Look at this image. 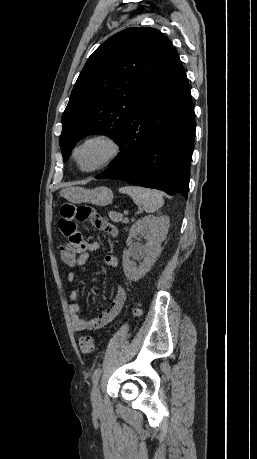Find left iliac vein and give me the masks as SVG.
<instances>
[{
	"instance_id": "4c4485c4",
	"label": "left iliac vein",
	"mask_w": 257,
	"mask_h": 459,
	"mask_svg": "<svg viewBox=\"0 0 257 459\" xmlns=\"http://www.w3.org/2000/svg\"><path fill=\"white\" fill-rule=\"evenodd\" d=\"M91 402L95 409H100L102 406V398L100 393V386L95 383L91 392Z\"/></svg>"
}]
</instances>
